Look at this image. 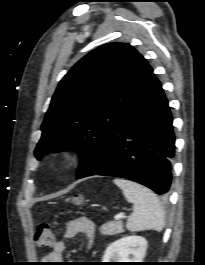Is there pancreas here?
Returning a JSON list of instances; mask_svg holds the SVG:
<instances>
[{"mask_svg":"<svg viewBox=\"0 0 205 265\" xmlns=\"http://www.w3.org/2000/svg\"><path fill=\"white\" fill-rule=\"evenodd\" d=\"M100 232L103 235H115L123 232L122 221H109L100 227Z\"/></svg>","mask_w":205,"mask_h":265,"instance_id":"obj_1","label":"pancreas"}]
</instances>
